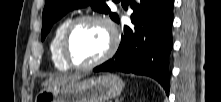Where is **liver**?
<instances>
[{
	"label": "liver",
	"instance_id": "liver-1",
	"mask_svg": "<svg viewBox=\"0 0 221 102\" xmlns=\"http://www.w3.org/2000/svg\"><path fill=\"white\" fill-rule=\"evenodd\" d=\"M76 77H67V76H60L56 78H52L49 80H46L45 82L42 83L43 87H52V86H58L65 84L67 82L74 81Z\"/></svg>",
	"mask_w": 221,
	"mask_h": 102
}]
</instances>
